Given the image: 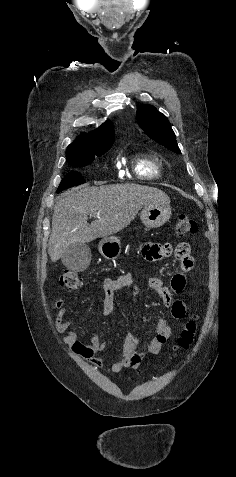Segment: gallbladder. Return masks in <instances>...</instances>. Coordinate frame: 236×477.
<instances>
[{
    "label": "gallbladder",
    "mask_w": 236,
    "mask_h": 477,
    "mask_svg": "<svg viewBox=\"0 0 236 477\" xmlns=\"http://www.w3.org/2000/svg\"><path fill=\"white\" fill-rule=\"evenodd\" d=\"M61 260L70 271H84L91 261L90 248L86 243H72L63 253Z\"/></svg>",
    "instance_id": "gallbladder-1"
}]
</instances>
